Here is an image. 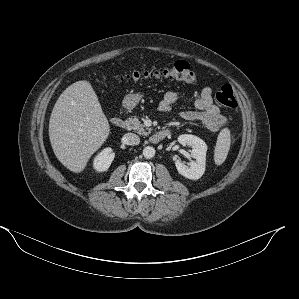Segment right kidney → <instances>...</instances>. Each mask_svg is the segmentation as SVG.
Here are the masks:
<instances>
[{
	"label": "right kidney",
	"instance_id": "1",
	"mask_svg": "<svg viewBox=\"0 0 299 299\" xmlns=\"http://www.w3.org/2000/svg\"><path fill=\"white\" fill-rule=\"evenodd\" d=\"M115 157V154L111 148H105L103 151H101L94 159L93 167L98 172L106 171L113 159Z\"/></svg>",
	"mask_w": 299,
	"mask_h": 299
}]
</instances>
